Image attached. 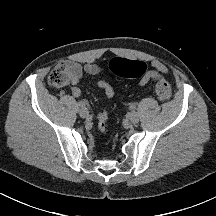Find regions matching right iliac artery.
<instances>
[{
    "instance_id": "1",
    "label": "right iliac artery",
    "mask_w": 216,
    "mask_h": 216,
    "mask_svg": "<svg viewBox=\"0 0 216 216\" xmlns=\"http://www.w3.org/2000/svg\"><path fill=\"white\" fill-rule=\"evenodd\" d=\"M86 102L85 101H80L79 103H78V105H79V107H81V108H84L85 106H86Z\"/></svg>"
}]
</instances>
